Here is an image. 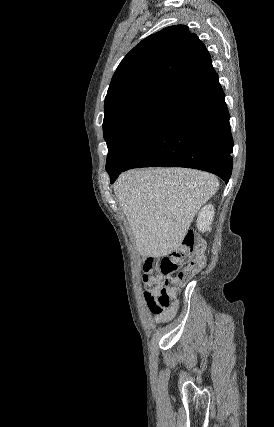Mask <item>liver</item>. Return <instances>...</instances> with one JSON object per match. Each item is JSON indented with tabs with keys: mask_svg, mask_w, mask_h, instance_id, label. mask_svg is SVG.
<instances>
[{
	"mask_svg": "<svg viewBox=\"0 0 274 427\" xmlns=\"http://www.w3.org/2000/svg\"><path fill=\"white\" fill-rule=\"evenodd\" d=\"M114 194L143 257L169 255L182 241L194 215L219 182L213 174L186 168H147L120 174Z\"/></svg>",
	"mask_w": 274,
	"mask_h": 427,
	"instance_id": "liver-1",
	"label": "liver"
}]
</instances>
